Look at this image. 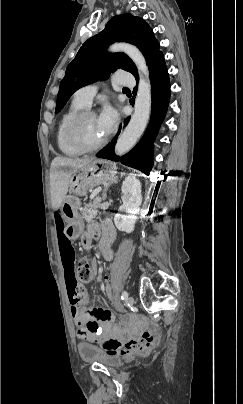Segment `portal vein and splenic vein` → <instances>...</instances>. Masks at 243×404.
<instances>
[{
    "label": "portal vein and splenic vein",
    "mask_w": 243,
    "mask_h": 404,
    "mask_svg": "<svg viewBox=\"0 0 243 404\" xmlns=\"http://www.w3.org/2000/svg\"><path fill=\"white\" fill-rule=\"evenodd\" d=\"M102 188H96V190H94V192H92L90 198L91 200H93V198H95V196H97V194H99V192H101Z\"/></svg>",
    "instance_id": "portal-vein-and-splenic-vein-1"
}]
</instances>
